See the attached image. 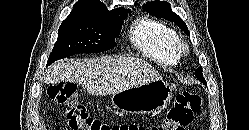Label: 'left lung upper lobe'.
Masks as SVG:
<instances>
[{"label": "left lung upper lobe", "mask_w": 249, "mask_h": 130, "mask_svg": "<svg viewBox=\"0 0 249 130\" xmlns=\"http://www.w3.org/2000/svg\"><path fill=\"white\" fill-rule=\"evenodd\" d=\"M143 8L150 12V14L158 17H162L168 21L174 22L177 26H179L187 35H190L188 28L185 24V22L174 12H172L170 4L165 1H151L147 2L143 5ZM195 76L197 79H199L204 84L206 83V80L203 77L202 74V67H198L195 71Z\"/></svg>", "instance_id": "left-lung-upper-lobe-1"}]
</instances>
